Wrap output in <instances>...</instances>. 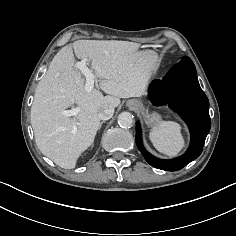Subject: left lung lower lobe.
Wrapping results in <instances>:
<instances>
[{"label": "left lung lower lobe", "instance_id": "0a47b994", "mask_svg": "<svg viewBox=\"0 0 236 236\" xmlns=\"http://www.w3.org/2000/svg\"><path fill=\"white\" fill-rule=\"evenodd\" d=\"M149 99L154 105L168 104L178 112L190 129L191 143L186 153L178 158L172 160L156 158L144 148L140 125L137 122V147L151 166L166 171L180 170L201 154L211 126L209 101L199 85L191 59L183 57L162 80L152 81L149 87Z\"/></svg>", "mask_w": 236, "mask_h": 236}]
</instances>
